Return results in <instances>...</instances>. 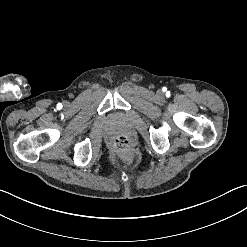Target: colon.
<instances>
[{
    "label": "colon",
    "instance_id": "colon-1",
    "mask_svg": "<svg viewBox=\"0 0 247 247\" xmlns=\"http://www.w3.org/2000/svg\"><path fill=\"white\" fill-rule=\"evenodd\" d=\"M113 147L119 153H123L128 156L133 154L132 140L126 134L117 135L113 140Z\"/></svg>",
    "mask_w": 247,
    "mask_h": 247
}]
</instances>
